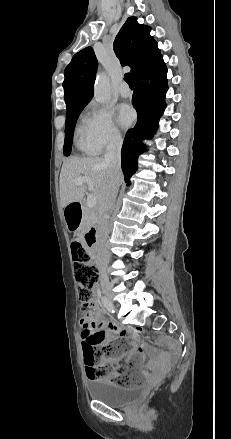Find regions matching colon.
<instances>
[{"label": "colon", "instance_id": "1", "mask_svg": "<svg viewBox=\"0 0 231 439\" xmlns=\"http://www.w3.org/2000/svg\"><path fill=\"white\" fill-rule=\"evenodd\" d=\"M71 253L81 307L84 311H87L91 308L92 290L98 281L99 272L92 264L90 255L80 242L75 241L72 243ZM124 351L125 344L122 341H115L102 349L91 345L86 346L83 350V355L89 379L102 380L108 377L109 381L116 385H135L139 379L130 370H118L111 375L114 367L107 359L118 358ZM102 360H106V362L102 363ZM117 367L118 365L115 368Z\"/></svg>", "mask_w": 231, "mask_h": 439}]
</instances>
